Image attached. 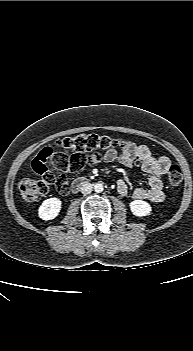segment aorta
I'll return each mask as SVG.
<instances>
[{
  "label": "aorta",
  "instance_id": "aorta-1",
  "mask_svg": "<svg viewBox=\"0 0 193 351\" xmlns=\"http://www.w3.org/2000/svg\"><path fill=\"white\" fill-rule=\"evenodd\" d=\"M103 184L102 183H96L94 185V190L95 192L99 193V192H102L103 191Z\"/></svg>",
  "mask_w": 193,
  "mask_h": 351
}]
</instances>
